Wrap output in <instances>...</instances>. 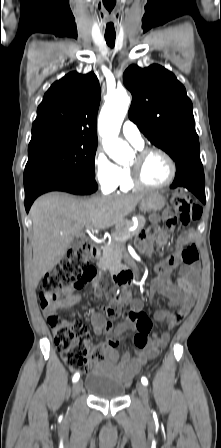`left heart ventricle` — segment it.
<instances>
[{"instance_id":"b2bd125f","label":"left heart ventricle","mask_w":221,"mask_h":448,"mask_svg":"<svg viewBox=\"0 0 221 448\" xmlns=\"http://www.w3.org/2000/svg\"><path fill=\"white\" fill-rule=\"evenodd\" d=\"M136 162V157L132 164ZM170 167L165 158L157 153L149 155L143 163L142 175L149 184L159 185L170 177Z\"/></svg>"}]
</instances>
